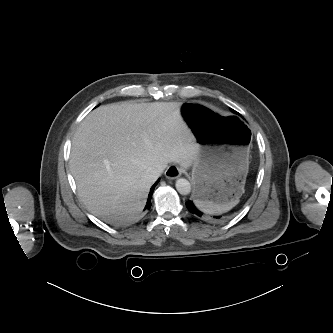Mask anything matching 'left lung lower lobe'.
<instances>
[{
    "mask_svg": "<svg viewBox=\"0 0 333 333\" xmlns=\"http://www.w3.org/2000/svg\"><path fill=\"white\" fill-rule=\"evenodd\" d=\"M186 207L187 209L194 215H197L199 217H202L203 216V213L200 212L196 207L195 205L193 204L192 201H188L186 202ZM217 219H219L220 217H216Z\"/></svg>",
    "mask_w": 333,
    "mask_h": 333,
    "instance_id": "0a47b994",
    "label": "left lung lower lobe"
}]
</instances>
